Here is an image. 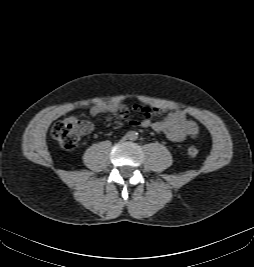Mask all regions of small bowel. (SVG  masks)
I'll return each mask as SVG.
<instances>
[{"label":"small bowel","instance_id":"c3829d8e","mask_svg":"<svg viewBox=\"0 0 254 267\" xmlns=\"http://www.w3.org/2000/svg\"><path fill=\"white\" fill-rule=\"evenodd\" d=\"M135 111L144 113V118L141 121L129 118L128 107L122 103L109 102L98 103L91 107L90 114L97 116L103 113L119 114L120 117L129 121L133 126H141L143 128H152L158 133H163L172 142H182L187 137H195L199 132L198 125L193 120L187 118V115L182 110H177L167 113L161 120L153 121L152 117L163 113V109L159 107H142L134 105Z\"/></svg>","mask_w":254,"mask_h":267}]
</instances>
